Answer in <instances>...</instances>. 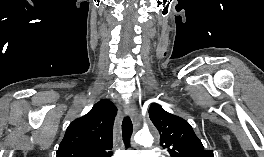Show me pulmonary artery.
Listing matches in <instances>:
<instances>
[{
	"instance_id": "e3ab8cb5",
	"label": "pulmonary artery",
	"mask_w": 264,
	"mask_h": 157,
	"mask_svg": "<svg viewBox=\"0 0 264 157\" xmlns=\"http://www.w3.org/2000/svg\"><path fill=\"white\" fill-rule=\"evenodd\" d=\"M120 157H157L152 150L126 151Z\"/></svg>"
}]
</instances>
